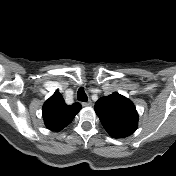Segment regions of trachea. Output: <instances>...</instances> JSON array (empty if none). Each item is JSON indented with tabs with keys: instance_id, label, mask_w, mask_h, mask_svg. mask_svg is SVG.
<instances>
[{
	"instance_id": "obj_1",
	"label": "trachea",
	"mask_w": 176,
	"mask_h": 176,
	"mask_svg": "<svg viewBox=\"0 0 176 176\" xmlns=\"http://www.w3.org/2000/svg\"><path fill=\"white\" fill-rule=\"evenodd\" d=\"M77 98H78L79 101H83V102L88 101L87 94H86L85 90L82 87L79 88V90L77 92Z\"/></svg>"
}]
</instances>
